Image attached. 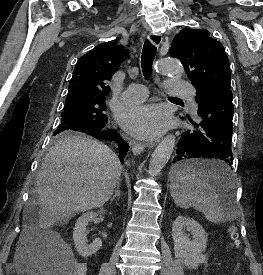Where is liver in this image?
<instances>
[{
  "instance_id": "1",
  "label": "liver",
  "mask_w": 263,
  "mask_h": 275,
  "mask_svg": "<svg viewBox=\"0 0 263 275\" xmlns=\"http://www.w3.org/2000/svg\"><path fill=\"white\" fill-rule=\"evenodd\" d=\"M122 166L105 144L68 135L48 152L37 176L42 227H51L79 212L103 206L120 182Z\"/></svg>"
}]
</instances>
